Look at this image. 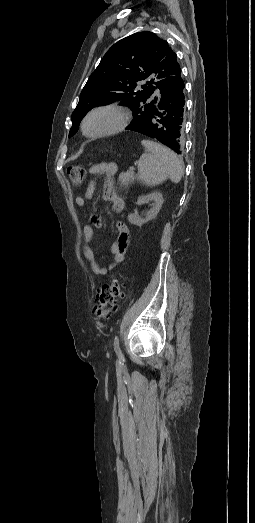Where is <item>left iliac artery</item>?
<instances>
[{
  "instance_id": "1",
  "label": "left iliac artery",
  "mask_w": 255,
  "mask_h": 523,
  "mask_svg": "<svg viewBox=\"0 0 255 523\" xmlns=\"http://www.w3.org/2000/svg\"><path fill=\"white\" fill-rule=\"evenodd\" d=\"M114 350L119 358V362L123 361L124 359H123V355H122V352L119 347V338L117 335L114 337Z\"/></svg>"
}]
</instances>
